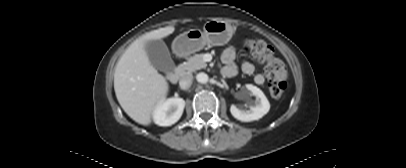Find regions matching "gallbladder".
Segmentation results:
<instances>
[{
  "label": "gallbladder",
  "mask_w": 406,
  "mask_h": 168,
  "mask_svg": "<svg viewBox=\"0 0 406 168\" xmlns=\"http://www.w3.org/2000/svg\"><path fill=\"white\" fill-rule=\"evenodd\" d=\"M145 49L151 64L162 72L173 71L175 65L170 56L167 45L162 40H150Z\"/></svg>",
  "instance_id": "obj_1"
}]
</instances>
